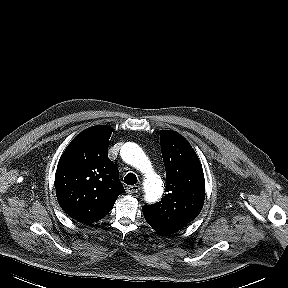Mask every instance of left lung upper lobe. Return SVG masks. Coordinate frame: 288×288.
Listing matches in <instances>:
<instances>
[{"label":"left lung upper lobe","instance_id":"1","mask_svg":"<svg viewBox=\"0 0 288 288\" xmlns=\"http://www.w3.org/2000/svg\"><path fill=\"white\" fill-rule=\"evenodd\" d=\"M160 144L166 170L167 194L161 201L145 205L153 218L176 229L184 228L200 213L205 195V180L199 159L180 134L160 132Z\"/></svg>","mask_w":288,"mask_h":288}]
</instances>
